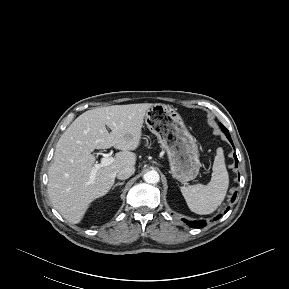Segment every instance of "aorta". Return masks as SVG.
<instances>
[{
  "label": "aorta",
  "instance_id": "1",
  "mask_svg": "<svg viewBox=\"0 0 289 289\" xmlns=\"http://www.w3.org/2000/svg\"><path fill=\"white\" fill-rule=\"evenodd\" d=\"M143 178L145 182L150 183V184H156L159 182V179H160L158 172L155 170L146 172Z\"/></svg>",
  "mask_w": 289,
  "mask_h": 289
}]
</instances>
